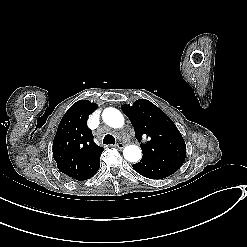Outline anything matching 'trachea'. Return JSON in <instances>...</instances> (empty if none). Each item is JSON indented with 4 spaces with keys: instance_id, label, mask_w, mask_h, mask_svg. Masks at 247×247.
Here are the masks:
<instances>
[{
    "instance_id": "1",
    "label": "trachea",
    "mask_w": 247,
    "mask_h": 247,
    "mask_svg": "<svg viewBox=\"0 0 247 247\" xmlns=\"http://www.w3.org/2000/svg\"><path fill=\"white\" fill-rule=\"evenodd\" d=\"M116 140L112 135H106L103 139V144H115Z\"/></svg>"
}]
</instances>
